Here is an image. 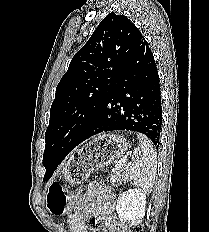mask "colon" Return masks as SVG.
<instances>
[{
	"instance_id": "obj_1",
	"label": "colon",
	"mask_w": 209,
	"mask_h": 232,
	"mask_svg": "<svg viewBox=\"0 0 209 232\" xmlns=\"http://www.w3.org/2000/svg\"><path fill=\"white\" fill-rule=\"evenodd\" d=\"M72 199L76 200L77 195H72ZM68 200V194L61 185L57 183H52L49 186L46 201L50 213L55 216L63 215L66 211ZM136 232L139 231L137 230Z\"/></svg>"
}]
</instances>
